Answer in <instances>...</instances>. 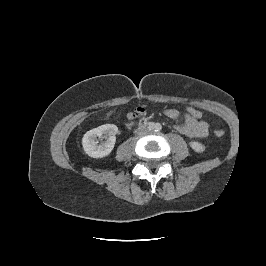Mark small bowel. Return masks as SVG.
<instances>
[{
  "instance_id": "c3829d8e",
  "label": "small bowel",
  "mask_w": 266,
  "mask_h": 266,
  "mask_svg": "<svg viewBox=\"0 0 266 266\" xmlns=\"http://www.w3.org/2000/svg\"><path fill=\"white\" fill-rule=\"evenodd\" d=\"M164 114L174 120L180 118L181 114L176 109H165ZM145 115V110L142 107H136L129 114L130 118H139ZM176 129L191 138H204L208 135V124L203 120H197L190 115H185L184 123L177 125Z\"/></svg>"
}]
</instances>
